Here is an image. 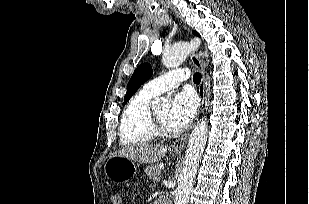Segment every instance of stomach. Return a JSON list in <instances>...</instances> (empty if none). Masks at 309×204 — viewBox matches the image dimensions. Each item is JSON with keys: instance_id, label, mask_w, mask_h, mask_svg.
Wrapping results in <instances>:
<instances>
[{"instance_id": "0dacf381", "label": "stomach", "mask_w": 309, "mask_h": 204, "mask_svg": "<svg viewBox=\"0 0 309 204\" xmlns=\"http://www.w3.org/2000/svg\"><path fill=\"white\" fill-rule=\"evenodd\" d=\"M175 153L178 154L180 152L175 151ZM104 171L108 179L112 181H127L136 174L137 164L127 157L112 156L105 163Z\"/></svg>"}]
</instances>
